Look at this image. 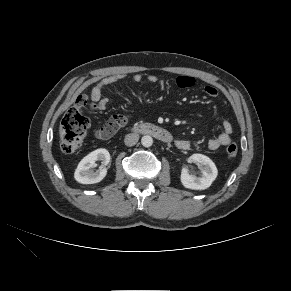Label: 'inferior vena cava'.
<instances>
[{
    "mask_svg": "<svg viewBox=\"0 0 291 291\" xmlns=\"http://www.w3.org/2000/svg\"><path fill=\"white\" fill-rule=\"evenodd\" d=\"M139 140L137 133H131L125 136L124 143L126 146H134Z\"/></svg>",
    "mask_w": 291,
    "mask_h": 291,
    "instance_id": "1",
    "label": "inferior vena cava"
}]
</instances>
